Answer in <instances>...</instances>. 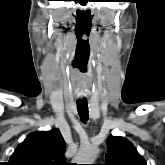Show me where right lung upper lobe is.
Wrapping results in <instances>:
<instances>
[{
  "label": "right lung upper lobe",
  "mask_w": 165,
  "mask_h": 165,
  "mask_svg": "<svg viewBox=\"0 0 165 165\" xmlns=\"http://www.w3.org/2000/svg\"><path fill=\"white\" fill-rule=\"evenodd\" d=\"M65 141L58 129L33 132L11 155L10 165H68Z\"/></svg>",
  "instance_id": "right-lung-upper-lobe-1"
}]
</instances>
